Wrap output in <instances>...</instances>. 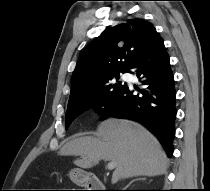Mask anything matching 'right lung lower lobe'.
<instances>
[{"mask_svg":"<svg viewBox=\"0 0 210 191\" xmlns=\"http://www.w3.org/2000/svg\"><path fill=\"white\" fill-rule=\"evenodd\" d=\"M130 70L128 72L135 73L145 88L134 94V90L126 85L102 112L100 119L112 116L142 123L171 157L177 114L176 91L169 56L160 36L133 62Z\"/></svg>","mask_w":210,"mask_h":191,"instance_id":"obj_1","label":"right lung lower lobe"}]
</instances>
